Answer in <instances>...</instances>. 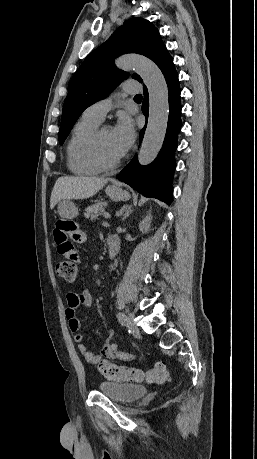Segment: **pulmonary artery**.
<instances>
[{"label":"pulmonary artery","mask_w":257,"mask_h":459,"mask_svg":"<svg viewBox=\"0 0 257 459\" xmlns=\"http://www.w3.org/2000/svg\"><path fill=\"white\" fill-rule=\"evenodd\" d=\"M136 83L135 81L128 80L123 85V91L127 94H136L139 90L138 88L133 87L131 84ZM112 106L111 98H106L100 100L92 105H90L84 112L85 115L102 122L106 113Z\"/></svg>","instance_id":"obj_1"}]
</instances>
